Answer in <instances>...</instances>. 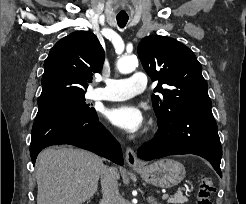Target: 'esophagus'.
Instances as JSON below:
<instances>
[{
	"label": "esophagus",
	"instance_id": "1",
	"mask_svg": "<svg viewBox=\"0 0 246 204\" xmlns=\"http://www.w3.org/2000/svg\"><path fill=\"white\" fill-rule=\"evenodd\" d=\"M125 158H126V162L128 163V165L130 167H133V168L141 167V162L137 158V156H136L135 152L133 151V149H131V148H127L126 149Z\"/></svg>",
	"mask_w": 246,
	"mask_h": 204
}]
</instances>
